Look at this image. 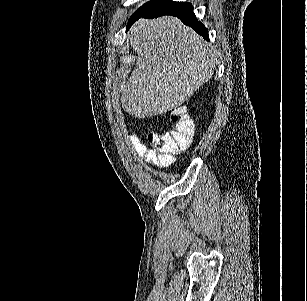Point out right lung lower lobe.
<instances>
[{
	"label": "right lung lower lobe",
	"instance_id": "98d812e1",
	"mask_svg": "<svg viewBox=\"0 0 307 301\" xmlns=\"http://www.w3.org/2000/svg\"><path fill=\"white\" fill-rule=\"evenodd\" d=\"M163 15L178 17L185 25L192 27L198 34L208 40V30L197 20L193 13V6L188 2L161 0L158 4L143 13L139 18L143 17L153 19Z\"/></svg>",
	"mask_w": 307,
	"mask_h": 301
}]
</instances>
